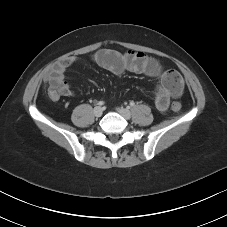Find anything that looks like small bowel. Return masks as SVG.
<instances>
[{
    "label": "small bowel",
    "instance_id": "1",
    "mask_svg": "<svg viewBox=\"0 0 227 227\" xmlns=\"http://www.w3.org/2000/svg\"><path fill=\"white\" fill-rule=\"evenodd\" d=\"M93 60L97 65L114 74L130 71L161 78V83L155 90V106L160 112L168 109L171 98L178 97L182 93V80L168 81L159 61L143 52L122 53L113 49H100L94 54ZM74 62V58H69L55 65L45 74V81L50 85L49 96L51 99L57 100L61 96L74 95L71 85L65 79L66 69Z\"/></svg>",
    "mask_w": 227,
    "mask_h": 227
}]
</instances>
